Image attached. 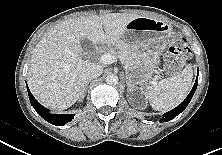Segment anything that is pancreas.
Instances as JSON below:
<instances>
[{
  "label": "pancreas",
  "instance_id": "1",
  "mask_svg": "<svg viewBox=\"0 0 222 155\" xmlns=\"http://www.w3.org/2000/svg\"><path fill=\"white\" fill-rule=\"evenodd\" d=\"M109 53L116 57V59L123 58L125 63L130 66L134 62L135 47L119 43L114 48L109 50Z\"/></svg>",
  "mask_w": 222,
  "mask_h": 155
}]
</instances>
